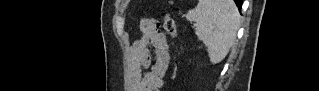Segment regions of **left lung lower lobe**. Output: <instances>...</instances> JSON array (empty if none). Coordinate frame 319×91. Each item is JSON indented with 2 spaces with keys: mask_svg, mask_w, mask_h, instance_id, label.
Returning <instances> with one entry per match:
<instances>
[{
  "mask_svg": "<svg viewBox=\"0 0 319 91\" xmlns=\"http://www.w3.org/2000/svg\"><path fill=\"white\" fill-rule=\"evenodd\" d=\"M234 2L236 3L239 11H241V6H242V0H234Z\"/></svg>",
  "mask_w": 319,
  "mask_h": 91,
  "instance_id": "0a47b994",
  "label": "left lung lower lobe"
}]
</instances>
